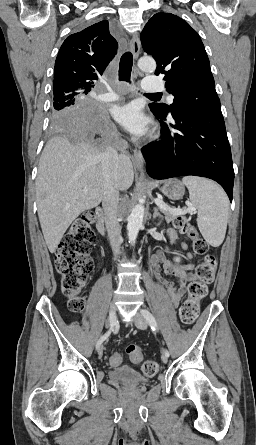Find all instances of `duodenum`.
<instances>
[{"instance_id": "410a0bca", "label": "duodenum", "mask_w": 256, "mask_h": 445, "mask_svg": "<svg viewBox=\"0 0 256 445\" xmlns=\"http://www.w3.org/2000/svg\"><path fill=\"white\" fill-rule=\"evenodd\" d=\"M96 212V228L98 232L105 236V223H104V216H103V210L98 207L95 210Z\"/></svg>"}]
</instances>
